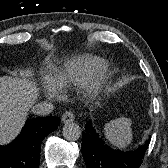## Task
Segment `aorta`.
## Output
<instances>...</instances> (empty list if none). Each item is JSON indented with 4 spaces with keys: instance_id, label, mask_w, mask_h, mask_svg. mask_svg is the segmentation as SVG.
I'll return each mask as SVG.
<instances>
[{
    "instance_id": "obj_1",
    "label": "aorta",
    "mask_w": 168,
    "mask_h": 168,
    "mask_svg": "<svg viewBox=\"0 0 168 168\" xmlns=\"http://www.w3.org/2000/svg\"><path fill=\"white\" fill-rule=\"evenodd\" d=\"M62 133L66 140L75 141L81 136V129L78 124L74 122L66 123L63 127Z\"/></svg>"
}]
</instances>
